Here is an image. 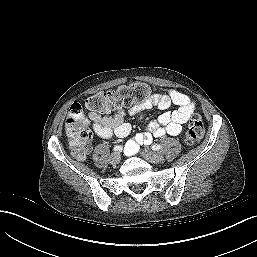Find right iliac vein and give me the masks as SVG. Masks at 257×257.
Listing matches in <instances>:
<instances>
[{"mask_svg":"<svg viewBox=\"0 0 257 257\" xmlns=\"http://www.w3.org/2000/svg\"><path fill=\"white\" fill-rule=\"evenodd\" d=\"M121 159V155L119 152H113L110 156V161L112 163H118Z\"/></svg>","mask_w":257,"mask_h":257,"instance_id":"obj_1","label":"right iliac vein"}]
</instances>
